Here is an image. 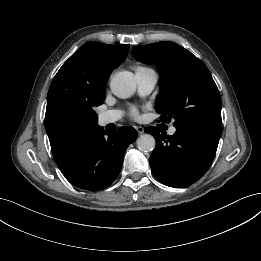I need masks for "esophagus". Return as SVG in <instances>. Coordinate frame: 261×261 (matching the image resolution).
I'll list each match as a JSON object with an SVG mask.
<instances>
[{
  "label": "esophagus",
  "mask_w": 261,
  "mask_h": 261,
  "mask_svg": "<svg viewBox=\"0 0 261 261\" xmlns=\"http://www.w3.org/2000/svg\"><path fill=\"white\" fill-rule=\"evenodd\" d=\"M136 130H137V133H138L139 135H141V134L144 133V128L141 127V126H137V127H136Z\"/></svg>",
  "instance_id": "34e87169"
}]
</instances>
